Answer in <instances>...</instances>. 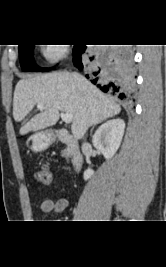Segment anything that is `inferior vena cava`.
Returning <instances> with one entry per match:
<instances>
[{"label":"inferior vena cava","instance_id":"obj_1","mask_svg":"<svg viewBox=\"0 0 166 267\" xmlns=\"http://www.w3.org/2000/svg\"><path fill=\"white\" fill-rule=\"evenodd\" d=\"M72 75L76 81L80 82L82 80V77L78 73L74 72Z\"/></svg>","mask_w":166,"mask_h":267}]
</instances>
